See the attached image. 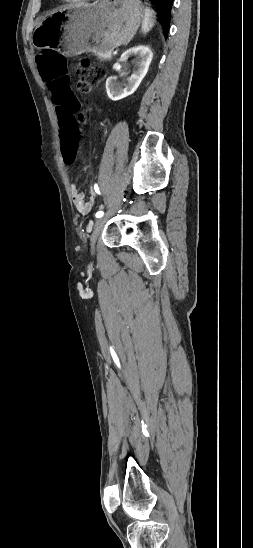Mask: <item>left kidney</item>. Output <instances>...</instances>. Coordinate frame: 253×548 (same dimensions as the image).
Returning <instances> with one entry per match:
<instances>
[{
    "mask_svg": "<svg viewBox=\"0 0 253 548\" xmlns=\"http://www.w3.org/2000/svg\"><path fill=\"white\" fill-rule=\"evenodd\" d=\"M130 57H135L136 70L129 77L126 84H117L116 78L113 76L108 77L106 80L107 95L113 101L132 95L137 90L148 72L153 53L148 46L139 45L125 51L120 60L127 61Z\"/></svg>",
    "mask_w": 253,
    "mask_h": 548,
    "instance_id": "obj_1",
    "label": "left kidney"
}]
</instances>
